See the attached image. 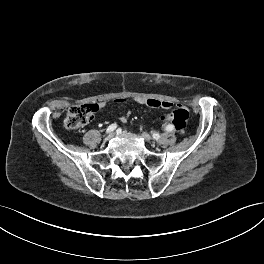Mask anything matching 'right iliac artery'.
I'll return each mask as SVG.
<instances>
[{
	"label": "right iliac artery",
	"instance_id": "82829eb1",
	"mask_svg": "<svg viewBox=\"0 0 264 264\" xmlns=\"http://www.w3.org/2000/svg\"><path fill=\"white\" fill-rule=\"evenodd\" d=\"M116 128H117V124H111L110 126H108L106 133H110L114 131Z\"/></svg>",
	"mask_w": 264,
	"mask_h": 264
}]
</instances>
